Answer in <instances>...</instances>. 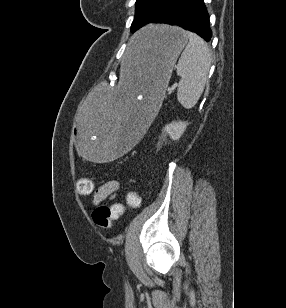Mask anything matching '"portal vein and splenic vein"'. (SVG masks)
<instances>
[{"label": "portal vein and splenic vein", "instance_id": "obj_1", "mask_svg": "<svg viewBox=\"0 0 286 308\" xmlns=\"http://www.w3.org/2000/svg\"><path fill=\"white\" fill-rule=\"evenodd\" d=\"M176 84H174L172 87H171V90H174L176 88Z\"/></svg>", "mask_w": 286, "mask_h": 308}]
</instances>
